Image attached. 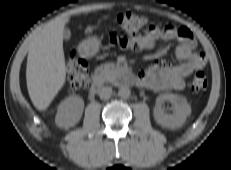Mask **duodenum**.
Wrapping results in <instances>:
<instances>
[{
  "label": "duodenum",
  "instance_id": "obj_1",
  "mask_svg": "<svg viewBox=\"0 0 231 170\" xmlns=\"http://www.w3.org/2000/svg\"><path fill=\"white\" fill-rule=\"evenodd\" d=\"M115 82L126 85V84H135L138 83V78L136 77L133 72L121 65L119 69L118 76L115 78ZM104 84V78L102 75H96L92 78L91 84H90V89H89V94L91 97L95 96L102 88Z\"/></svg>",
  "mask_w": 231,
  "mask_h": 170
}]
</instances>
